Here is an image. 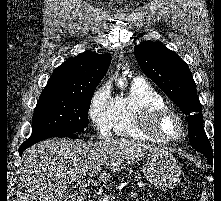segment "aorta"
<instances>
[{
  "label": "aorta",
  "mask_w": 221,
  "mask_h": 201,
  "mask_svg": "<svg viewBox=\"0 0 221 201\" xmlns=\"http://www.w3.org/2000/svg\"><path fill=\"white\" fill-rule=\"evenodd\" d=\"M119 85H120V86H123V85H124V82H123L122 80H120V81H119Z\"/></svg>",
  "instance_id": "1"
}]
</instances>
